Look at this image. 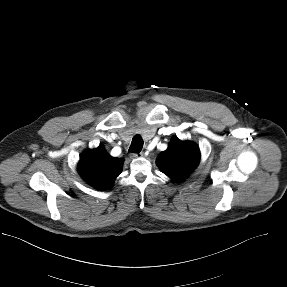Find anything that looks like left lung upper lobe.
Here are the masks:
<instances>
[{
	"mask_svg": "<svg viewBox=\"0 0 287 287\" xmlns=\"http://www.w3.org/2000/svg\"><path fill=\"white\" fill-rule=\"evenodd\" d=\"M199 161L200 150L195 143L173 137L167 150L157 157L156 164L173 181H180L193 172Z\"/></svg>",
	"mask_w": 287,
	"mask_h": 287,
	"instance_id": "5c2ea615",
	"label": "left lung upper lobe"
}]
</instances>
